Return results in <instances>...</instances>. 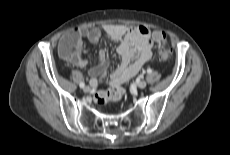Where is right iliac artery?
<instances>
[{"label":"right iliac artery","mask_w":230,"mask_h":155,"mask_svg":"<svg viewBox=\"0 0 230 155\" xmlns=\"http://www.w3.org/2000/svg\"><path fill=\"white\" fill-rule=\"evenodd\" d=\"M79 86H80V88H84V86H85L84 82H80Z\"/></svg>","instance_id":"82829eb1"}]
</instances>
